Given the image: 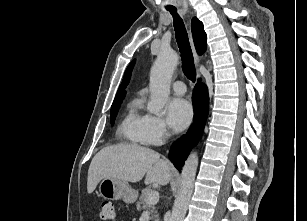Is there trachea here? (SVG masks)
I'll return each mask as SVG.
<instances>
[{"instance_id":"3493384b","label":"trachea","mask_w":307,"mask_h":221,"mask_svg":"<svg viewBox=\"0 0 307 221\" xmlns=\"http://www.w3.org/2000/svg\"><path fill=\"white\" fill-rule=\"evenodd\" d=\"M168 11L173 15L174 19L175 35L181 53L183 72L190 81L195 82L196 70L185 25L177 14V9H169Z\"/></svg>"}]
</instances>
